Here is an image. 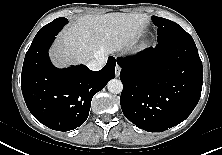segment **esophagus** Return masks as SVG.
<instances>
[{"label":"esophagus","mask_w":222,"mask_h":155,"mask_svg":"<svg viewBox=\"0 0 222 155\" xmlns=\"http://www.w3.org/2000/svg\"><path fill=\"white\" fill-rule=\"evenodd\" d=\"M120 71H121V68L118 64H116V67H115V74H116V77H118L120 75Z\"/></svg>","instance_id":"obj_1"}]
</instances>
